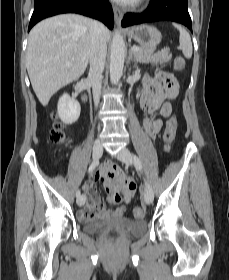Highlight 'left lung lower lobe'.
Listing matches in <instances>:
<instances>
[{
    "instance_id": "left-lung-lower-lobe-1",
    "label": "left lung lower lobe",
    "mask_w": 229,
    "mask_h": 280,
    "mask_svg": "<svg viewBox=\"0 0 229 280\" xmlns=\"http://www.w3.org/2000/svg\"><path fill=\"white\" fill-rule=\"evenodd\" d=\"M174 21L187 26L192 31L191 18L188 13V0H151L145 13H128L122 20V26L154 21Z\"/></svg>"
}]
</instances>
